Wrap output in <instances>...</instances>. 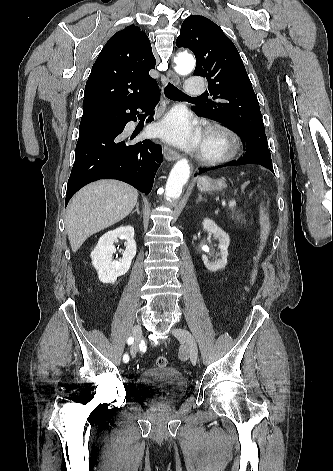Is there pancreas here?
<instances>
[{"instance_id":"pancreas-1","label":"pancreas","mask_w":333,"mask_h":471,"mask_svg":"<svg viewBox=\"0 0 333 471\" xmlns=\"http://www.w3.org/2000/svg\"><path fill=\"white\" fill-rule=\"evenodd\" d=\"M230 216L237 223H241V224L246 223L245 216L242 213L236 211L235 209H230Z\"/></svg>"}]
</instances>
